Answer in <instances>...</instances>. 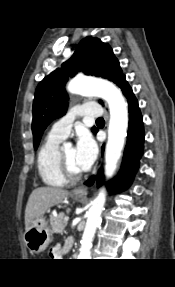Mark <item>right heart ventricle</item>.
<instances>
[{"instance_id": "e07e8e85", "label": "right heart ventricle", "mask_w": 175, "mask_h": 287, "mask_svg": "<svg viewBox=\"0 0 175 287\" xmlns=\"http://www.w3.org/2000/svg\"><path fill=\"white\" fill-rule=\"evenodd\" d=\"M62 140L49 133L37 154V169L40 178L48 186L63 187L68 183L58 162L59 145Z\"/></svg>"}]
</instances>
